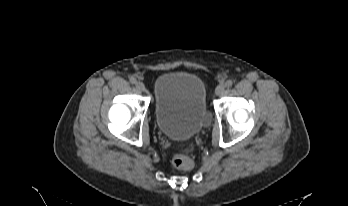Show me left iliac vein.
Segmentation results:
<instances>
[{
    "mask_svg": "<svg viewBox=\"0 0 348 206\" xmlns=\"http://www.w3.org/2000/svg\"><path fill=\"white\" fill-rule=\"evenodd\" d=\"M224 90H225V85L219 84L215 89V93H216V95H221L224 93Z\"/></svg>",
    "mask_w": 348,
    "mask_h": 206,
    "instance_id": "4c4485c4",
    "label": "left iliac vein"
}]
</instances>
